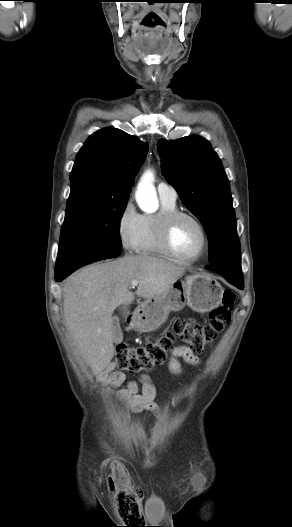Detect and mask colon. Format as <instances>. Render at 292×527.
<instances>
[{
    "instance_id": "obj_1",
    "label": "colon",
    "mask_w": 292,
    "mask_h": 527,
    "mask_svg": "<svg viewBox=\"0 0 292 527\" xmlns=\"http://www.w3.org/2000/svg\"><path fill=\"white\" fill-rule=\"evenodd\" d=\"M234 303L235 294L226 289L222 293L221 302L211 311L208 323L177 319L171 329L155 341L139 347L119 346L115 356L116 366L129 373L151 371L165 361L167 352L177 338L193 352H202L229 324ZM116 503L123 507L127 503H133L136 512H140L139 506L131 496L120 494Z\"/></svg>"
}]
</instances>
